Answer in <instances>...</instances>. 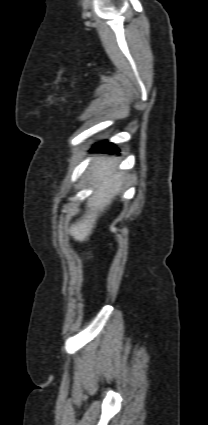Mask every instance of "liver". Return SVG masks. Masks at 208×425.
<instances>
[{
  "instance_id": "1",
  "label": "liver",
  "mask_w": 208,
  "mask_h": 425,
  "mask_svg": "<svg viewBox=\"0 0 208 425\" xmlns=\"http://www.w3.org/2000/svg\"><path fill=\"white\" fill-rule=\"evenodd\" d=\"M116 164L99 157L91 164L90 183L95 188L87 202L85 215L70 226L69 233L76 241H86L95 228L98 217L122 190L123 173L115 172Z\"/></svg>"
}]
</instances>
